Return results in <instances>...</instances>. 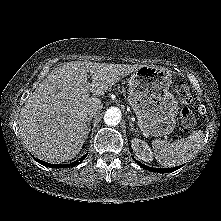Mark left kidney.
Wrapping results in <instances>:
<instances>
[{"label":"left kidney","instance_id":"1","mask_svg":"<svg viewBox=\"0 0 221 221\" xmlns=\"http://www.w3.org/2000/svg\"><path fill=\"white\" fill-rule=\"evenodd\" d=\"M131 147L138 159L143 160L145 162L153 161V153L147 142L135 138L131 141Z\"/></svg>","mask_w":221,"mask_h":221}]
</instances>
